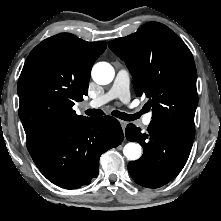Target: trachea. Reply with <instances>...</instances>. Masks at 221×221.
I'll return each mask as SVG.
<instances>
[{
	"mask_svg": "<svg viewBox=\"0 0 221 221\" xmlns=\"http://www.w3.org/2000/svg\"><path fill=\"white\" fill-rule=\"evenodd\" d=\"M85 113L91 117H99L104 114V112L99 109H88L85 111ZM112 115H114L115 117L120 118L122 120H125V121H134L139 118L140 113L129 115L124 112L114 110V111H112Z\"/></svg>",
	"mask_w": 221,
	"mask_h": 221,
	"instance_id": "1",
	"label": "trachea"
}]
</instances>
